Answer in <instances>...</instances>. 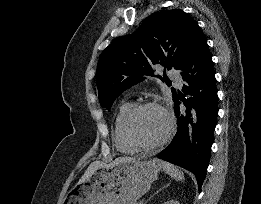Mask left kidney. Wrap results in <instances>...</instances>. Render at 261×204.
I'll use <instances>...</instances> for the list:
<instances>
[{
	"label": "left kidney",
	"instance_id": "obj_1",
	"mask_svg": "<svg viewBox=\"0 0 261 204\" xmlns=\"http://www.w3.org/2000/svg\"><path fill=\"white\" fill-rule=\"evenodd\" d=\"M164 204H180V203L176 200H170V201L165 202Z\"/></svg>",
	"mask_w": 261,
	"mask_h": 204
}]
</instances>
